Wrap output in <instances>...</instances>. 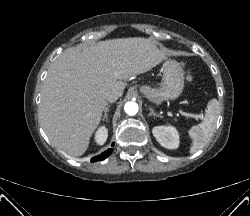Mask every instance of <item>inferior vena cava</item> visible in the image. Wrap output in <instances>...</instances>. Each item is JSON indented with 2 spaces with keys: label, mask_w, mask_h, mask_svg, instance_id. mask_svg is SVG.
Segmentation results:
<instances>
[{
  "label": "inferior vena cava",
  "mask_w": 250,
  "mask_h": 216,
  "mask_svg": "<svg viewBox=\"0 0 250 216\" xmlns=\"http://www.w3.org/2000/svg\"><path fill=\"white\" fill-rule=\"evenodd\" d=\"M122 95L121 91L118 89H110L105 92V99L108 102H115Z\"/></svg>",
  "instance_id": "obj_1"
}]
</instances>
